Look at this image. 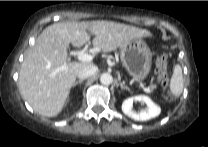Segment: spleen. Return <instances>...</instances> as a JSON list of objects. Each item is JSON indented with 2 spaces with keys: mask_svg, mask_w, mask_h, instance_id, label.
Wrapping results in <instances>:
<instances>
[{
  "mask_svg": "<svg viewBox=\"0 0 208 147\" xmlns=\"http://www.w3.org/2000/svg\"><path fill=\"white\" fill-rule=\"evenodd\" d=\"M184 87L182 68L179 64L173 67V75L170 80V91L178 97L181 95Z\"/></svg>",
  "mask_w": 208,
  "mask_h": 147,
  "instance_id": "3e777b00",
  "label": "spleen"
}]
</instances>
